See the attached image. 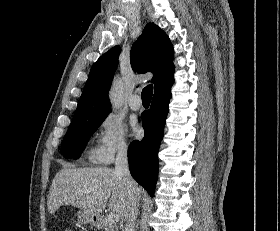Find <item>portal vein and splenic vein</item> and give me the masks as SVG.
<instances>
[{
    "instance_id": "obj_1",
    "label": "portal vein and splenic vein",
    "mask_w": 280,
    "mask_h": 231,
    "mask_svg": "<svg viewBox=\"0 0 280 231\" xmlns=\"http://www.w3.org/2000/svg\"><path fill=\"white\" fill-rule=\"evenodd\" d=\"M119 219L120 217L117 213H109V215H107V221H110V223H117Z\"/></svg>"
}]
</instances>
